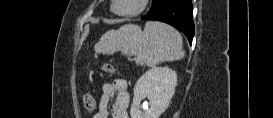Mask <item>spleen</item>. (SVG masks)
I'll use <instances>...</instances> for the list:
<instances>
[{
  "label": "spleen",
  "mask_w": 273,
  "mask_h": 118,
  "mask_svg": "<svg viewBox=\"0 0 273 118\" xmlns=\"http://www.w3.org/2000/svg\"><path fill=\"white\" fill-rule=\"evenodd\" d=\"M135 56L140 65L155 66L184 57L183 40L179 32L160 22L148 21L142 29L133 24L106 32L95 45L97 53Z\"/></svg>",
  "instance_id": "spleen-1"
}]
</instances>
